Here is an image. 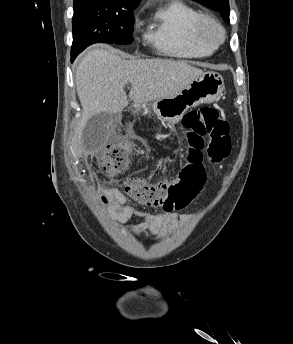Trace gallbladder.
<instances>
[{"mask_svg":"<svg viewBox=\"0 0 293 344\" xmlns=\"http://www.w3.org/2000/svg\"><path fill=\"white\" fill-rule=\"evenodd\" d=\"M111 122L112 115L108 112L98 113L86 122L81 136L82 146L85 151L94 152L103 146Z\"/></svg>","mask_w":293,"mask_h":344,"instance_id":"gallbladder-1","label":"gallbladder"}]
</instances>
